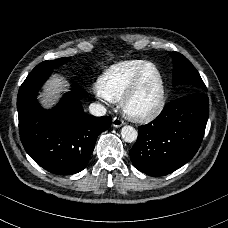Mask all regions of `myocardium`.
<instances>
[{
  "mask_svg": "<svg viewBox=\"0 0 228 228\" xmlns=\"http://www.w3.org/2000/svg\"><path fill=\"white\" fill-rule=\"evenodd\" d=\"M154 69L160 80V97L158 104L149 110H140L136 107H134L133 103L136 99L137 95L139 94L140 88L142 86L143 80L148 72V70ZM166 99H167V93H166V83L164 75L161 71V69L155 65L150 64L143 68L139 74L134 79L131 87L127 91V93L124 95V97L121 100V108L123 113L130 119L138 122H150L154 119H156L164 110L166 106Z\"/></svg>",
  "mask_w": 228,
  "mask_h": 228,
  "instance_id": "obj_1",
  "label": "myocardium"
}]
</instances>
